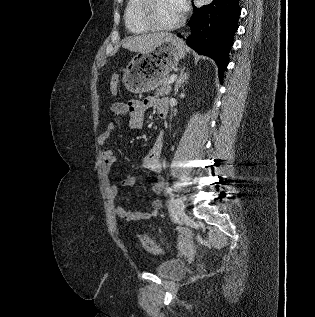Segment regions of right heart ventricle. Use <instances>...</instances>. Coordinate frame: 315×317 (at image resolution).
<instances>
[{
  "instance_id": "1",
  "label": "right heart ventricle",
  "mask_w": 315,
  "mask_h": 317,
  "mask_svg": "<svg viewBox=\"0 0 315 317\" xmlns=\"http://www.w3.org/2000/svg\"><path fill=\"white\" fill-rule=\"evenodd\" d=\"M142 0H127L124 10V23L126 29L133 34L148 32L150 28L140 19L139 11Z\"/></svg>"
}]
</instances>
